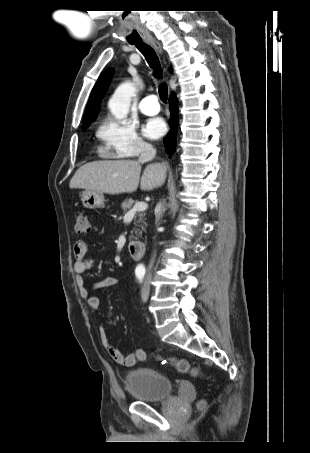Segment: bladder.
<instances>
[{
    "label": "bladder",
    "instance_id": "31cf9c89",
    "mask_svg": "<svg viewBox=\"0 0 310 453\" xmlns=\"http://www.w3.org/2000/svg\"><path fill=\"white\" fill-rule=\"evenodd\" d=\"M125 388L132 397L140 402H159L172 395L170 379L153 369L139 368L129 372Z\"/></svg>",
    "mask_w": 310,
    "mask_h": 453
}]
</instances>
